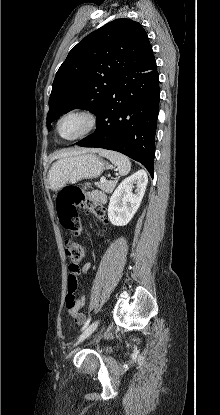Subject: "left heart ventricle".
Listing matches in <instances>:
<instances>
[{"label":"left heart ventricle","instance_id":"left-heart-ventricle-1","mask_svg":"<svg viewBox=\"0 0 220 415\" xmlns=\"http://www.w3.org/2000/svg\"><path fill=\"white\" fill-rule=\"evenodd\" d=\"M86 125L85 120L79 116H70L65 118L59 127V132L63 137H72L80 133Z\"/></svg>","mask_w":220,"mask_h":415}]
</instances>
